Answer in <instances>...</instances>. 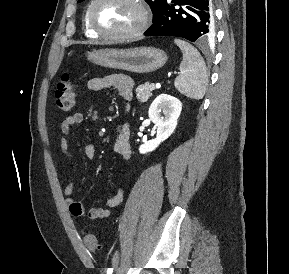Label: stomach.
Masks as SVG:
<instances>
[{"mask_svg":"<svg viewBox=\"0 0 289 274\" xmlns=\"http://www.w3.org/2000/svg\"><path fill=\"white\" fill-rule=\"evenodd\" d=\"M87 58L100 66L134 73L156 71L164 66L168 59L163 50L154 47L93 50L87 53Z\"/></svg>","mask_w":289,"mask_h":274,"instance_id":"1","label":"stomach"}]
</instances>
